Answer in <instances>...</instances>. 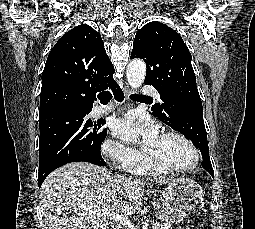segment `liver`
Wrapping results in <instances>:
<instances>
[{"instance_id":"liver-1","label":"liver","mask_w":255,"mask_h":229,"mask_svg":"<svg viewBox=\"0 0 255 229\" xmlns=\"http://www.w3.org/2000/svg\"><path fill=\"white\" fill-rule=\"evenodd\" d=\"M146 186L139 178L111 175L88 162L69 163L43 182L40 208L49 229H109L110 218L96 211L131 215L143 204Z\"/></svg>"}]
</instances>
